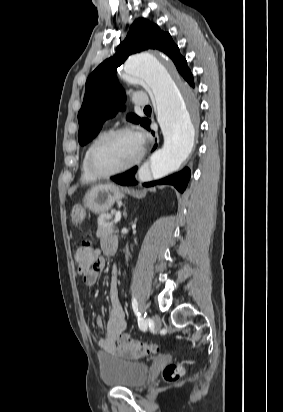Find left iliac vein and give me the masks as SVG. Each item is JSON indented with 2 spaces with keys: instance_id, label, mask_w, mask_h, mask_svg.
Returning <instances> with one entry per match:
<instances>
[{
  "instance_id": "4c4485c4",
  "label": "left iliac vein",
  "mask_w": 283,
  "mask_h": 412,
  "mask_svg": "<svg viewBox=\"0 0 283 412\" xmlns=\"http://www.w3.org/2000/svg\"><path fill=\"white\" fill-rule=\"evenodd\" d=\"M153 326L155 330H159L161 328V319L157 314L152 315Z\"/></svg>"
}]
</instances>
